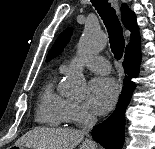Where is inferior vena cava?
I'll list each match as a JSON object with an SVG mask.
<instances>
[{
  "mask_svg": "<svg viewBox=\"0 0 155 149\" xmlns=\"http://www.w3.org/2000/svg\"><path fill=\"white\" fill-rule=\"evenodd\" d=\"M97 119L95 116L93 115H88L84 124H83V127H82V133L85 134V135H88L89 132L91 131L92 127L95 125ZM87 142L93 146V148H95V144L93 141H91L90 139H87Z\"/></svg>",
  "mask_w": 155,
  "mask_h": 149,
  "instance_id": "602c4592",
  "label": "inferior vena cava"
}]
</instances>
